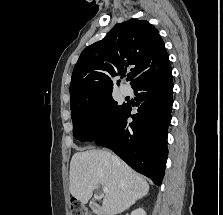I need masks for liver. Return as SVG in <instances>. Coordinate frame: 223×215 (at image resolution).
Masks as SVG:
<instances>
[{
    "label": "liver",
    "instance_id": "6515ba94",
    "mask_svg": "<svg viewBox=\"0 0 223 215\" xmlns=\"http://www.w3.org/2000/svg\"><path fill=\"white\" fill-rule=\"evenodd\" d=\"M70 193L81 203H88L98 185L108 187L102 209L107 215L121 213L149 191L143 175L135 173L117 155L105 149L77 151L70 161Z\"/></svg>",
    "mask_w": 223,
    "mask_h": 215
}]
</instances>
